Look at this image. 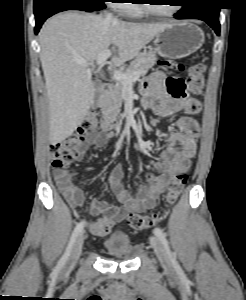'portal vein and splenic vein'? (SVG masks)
I'll use <instances>...</instances> for the list:
<instances>
[{
  "label": "portal vein and splenic vein",
  "instance_id": "obj_1",
  "mask_svg": "<svg viewBox=\"0 0 246 300\" xmlns=\"http://www.w3.org/2000/svg\"><path fill=\"white\" fill-rule=\"evenodd\" d=\"M111 54L112 52L110 50H106L101 53L96 59L97 65H103L104 62L111 56ZM77 63L82 67H89L88 63L84 60H78ZM113 77L116 81L121 82L124 86H129L139 78V72L127 74L118 70H114Z\"/></svg>",
  "mask_w": 246,
  "mask_h": 300
}]
</instances>
